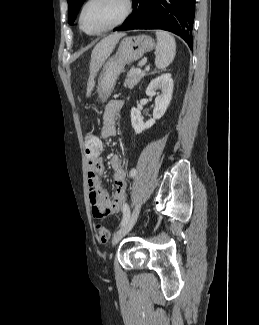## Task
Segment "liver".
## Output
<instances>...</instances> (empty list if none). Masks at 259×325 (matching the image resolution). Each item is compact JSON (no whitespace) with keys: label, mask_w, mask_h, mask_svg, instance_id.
<instances>
[{"label":"liver","mask_w":259,"mask_h":325,"mask_svg":"<svg viewBox=\"0 0 259 325\" xmlns=\"http://www.w3.org/2000/svg\"><path fill=\"white\" fill-rule=\"evenodd\" d=\"M125 36V33H114L109 35L108 37L102 39L93 49L91 54V63H90V71H91V79H93L96 72L100 69L102 64L106 61V59L110 56L116 44L118 43L121 37ZM93 88V82L91 80L87 95H90V92Z\"/></svg>","instance_id":"1"}]
</instances>
